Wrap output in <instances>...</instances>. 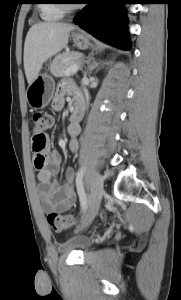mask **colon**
Wrapping results in <instances>:
<instances>
[{"mask_svg":"<svg viewBox=\"0 0 181 300\" xmlns=\"http://www.w3.org/2000/svg\"><path fill=\"white\" fill-rule=\"evenodd\" d=\"M32 124V151L36 156L35 162L40 167L44 162L43 152L48 143L45 131L50 129L54 124V117L46 112H36L31 118ZM49 226L55 231H63L72 227L76 220L70 215L58 214L51 212L47 216Z\"/></svg>","mask_w":181,"mask_h":300,"instance_id":"1","label":"colon"}]
</instances>
